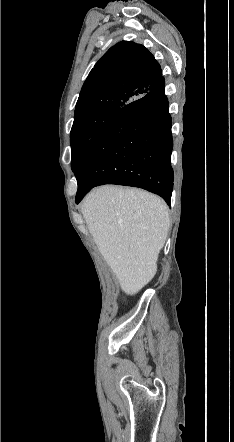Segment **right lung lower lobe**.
Returning a JSON list of instances; mask_svg holds the SVG:
<instances>
[{
	"label": "right lung lower lobe",
	"mask_w": 234,
	"mask_h": 442,
	"mask_svg": "<svg viewBox=\"0 0 234 442\" xmlns=\"http://www.w3.org/2000/svg\"><path fill=\"white\" fill-rule=\"evenodd\" d=\"M162 77L124 107L77 166L76 203L94 186L140 187L170 205L173 188L171 116Z\"/></svg>",
	"instance_id": "98d812e1"
}]
</instances>
